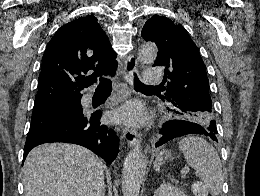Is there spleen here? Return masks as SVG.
Masks as SVG:
<instances>
[{
    "instance_id": "spleen-1",
    "label": "spleen",
    "mask_w": 260,
    "mask_h": 196,
    "mask_svg": "<svg viewBox=\"0 0 260 196\" xmlns=\"http://www.w3.org/2000/svg\"><path fill=\"white\" fill-rule=\"evenodd\" d=\"M178 146L185 162L196 170V176L204 182L211 196H218L222 190L224 178L221 160L214 146L198 136H186L178 142ZM163 162V152H161L155 160L154 170L156 172H159Z\"/></svg>"
}]
</instances>
